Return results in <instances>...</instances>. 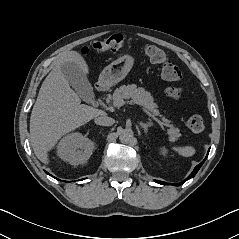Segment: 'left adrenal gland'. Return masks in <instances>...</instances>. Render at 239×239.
I'll use <instances>...</instances> for the list:
<instances>
[{
	"instance_id": "a2214340",
	"label": "left adrenal gland",
	"mask_w": 239,
	"mask_h": 239,
	"mask_svg": "<svg viewBox=\"0 0 239 239\" xmlns=\"http://www.w3.org/2000/svg\"><path fill=\"white\" fill-rule=\"evenodd\" d=\"M152 125H153L152 122H147V123L140 122V126L144 129V132L146 134L148 132V128Z\"/></svg>"
}]
</instances>
